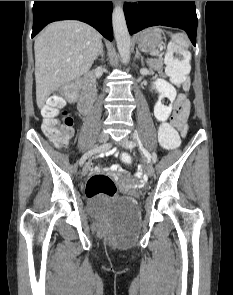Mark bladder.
<instances>
[{"instance_id":"bladder-1","label":"bladder","mask_w":233,"mask_h":295,"mask_svg":"<svg viewBox=\"0 0 233 295\" xmlns=\"http://www.w3.org/2000/svg\"><path fill=\"white\" fill-rule=\"evenodd\" d=\"M138 205L132 198H122L103 208L105 213H137Z\"/></svg>"}]
</instances>
